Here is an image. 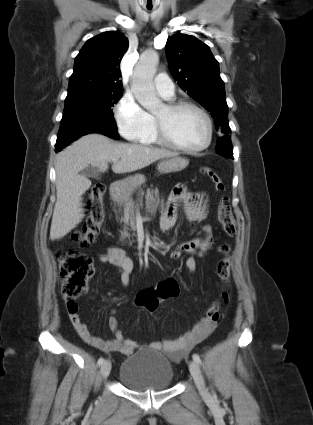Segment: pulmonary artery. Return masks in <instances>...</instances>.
I'll use <instances>...</instances> for the list:
<instances>
[{"instance_id":"e3ab8cb5","label":"pulmonary artery","mask_w":313,"mask_h":425,"mask_svg":"<svg viewBox=\"0 0 313 425\" xmlns=\"http://www.w3.org/2000/svg\"><path fill=\"white\" fill-rule=\"evenodd\" d=\"M154 85L158 94L164 99H172L175 95V87L172 80L166 74H159L154 79Z\"/></svg>"}]
</instances>
